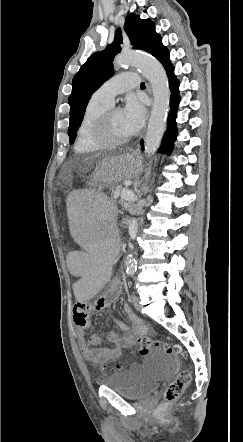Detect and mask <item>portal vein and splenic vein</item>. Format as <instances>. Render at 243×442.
Masks as SVG:
<instances>
[{
  "instance_id": "18ae733b",
  "label": "portal vein and splenic vein",
  "mask_w": 243,
  "mask_h": 442,
  "mask_svg": "<svg viewBox=\"0 0 243 442\" xmlns=\"http://www.w3.org/2000/svg\"><path fill=\"white\" fill-rule=\"evenodd\" d=\"M116 196H120L123 200H129L133 196V193L128 189H122L116 193Z\"/></svg>"
}]
</instances>
